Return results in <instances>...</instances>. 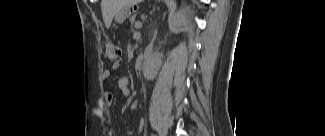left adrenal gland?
Instances as JSON below:
<instances>
[{
  "label": "left adrenal gland",
  "instance_id": "a2214340",
  "mask_svg": "<svg viewBox=\"0 0 325 136\" xmlns=\"http://www.w3.org/2000/svg\"><path fill=\"white\" fill-rule=\"evenodd\" d=\"M157 32L154 33L153 41L156 39Z\"/></svg>",
  "mask_w": 325,
  "mask_h": 136
}]
</instances>
